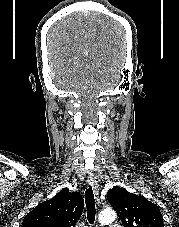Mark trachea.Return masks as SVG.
Returning a JSON list of instances; mask_svg holds the SVG:
<instances>
[{
	"mask_svg": "<svg viewBox=\"0 0 179 227\" xmlns=\"http://www.w3.org/2000/svg\"><path fill=\"white\" fill-rule=\"evenodd\" d=\"M85 203L87 208L88 222L93 224L95 221L96 209L94 194L91 186L85 191Z\"/></svg>",
	"mask_w": 179,
	"mask_h": 227,
	"instance_id": "1",
	"label": "trachea"
}]
</instances>
